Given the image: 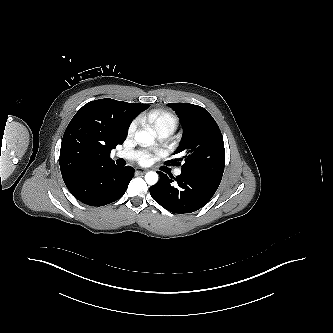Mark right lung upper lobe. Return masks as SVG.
<instances>
[{"label": "right lung upper lobe", "mask_w": 333, "mask_h": 333, "mask_svg": "<svg viewBox=\"0 0 333 333\" xmlns=\"http://www.w3.org/2000/svg\"><path fill=\"white\" fill-rule=\"evenodd\" d=\"M148 107L105 98L79 109L65 130L60 149V170L67 188L86 172L114 164L111 150L125 141L134 117Z\"/></svg>", "instance_id": "obj_1"}]
</instances>
